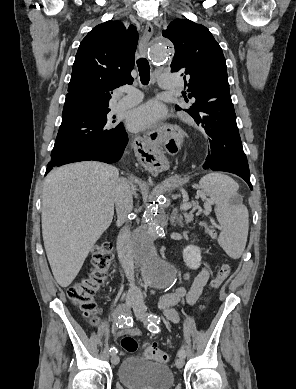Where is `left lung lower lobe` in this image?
<instances>
[{"label": "left lung lower lobe", "instance_id": "obj_1", "mask_svg": "<svg viewBox=\"0 0 296 389\" xmlns=\"http://www.w3.org/2000/svg\"><path fill=\"white\" fill-rule=\"evenodd\" d=\"M206 139L204 168L225 171L243 178L252 190L250 171L243 151L236 115L230 97H223L211 106L200 123Z\"/></svg>", "mask_w": 296, "mask_h": 389}]
</instances>
